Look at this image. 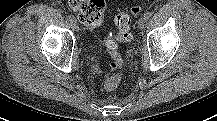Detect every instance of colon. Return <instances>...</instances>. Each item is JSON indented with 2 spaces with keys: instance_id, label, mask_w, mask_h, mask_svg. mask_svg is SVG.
<instances>
[{
  "instance_id": "1",
  "label": "colon",
  "mask_w": 217,
  "mask_h": 121,
  "mask_svg": "<svg viewBox=\"0 0 217 121\" xmlns=\"http://www.w3.org/2000/svg\"><path fill=\"white\" fill-rule=\"evenodd\" d=\"M68 7L77 14L78 18L90 27L102 25L105 19V0H67ZM143 11L140 5H133L129 12L138 16ZM130 15L128 12H121L115 17V24L118 34L106 41V48L112 62L110 64L111 75L104 82V89L108 92L114 91L123 78L122 57L118 51V42H129L132 39L130 31Z\"/></svg>"
}]
</instances>
